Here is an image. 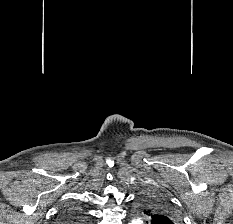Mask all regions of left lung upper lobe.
Here are the masks:
<instances>
[{
	"label": "left lung upper lobe",
	"instance_id": "left-lung-upper-lobe-1",
	"mask_svg": "<svg viewBox=\"0 0 233 224\" xmlns=\"http://www.w3.org/2000/svg\"><path fill=\"white\" fill-rule=\"evenodd\" d=\"M139 213L149 218L150 224H180L181 219L173 205L155 192L143 194L137 202Z\"/></svg>",
	"mask_w": 233,
	"mask_h": 224
}]
</instances>
